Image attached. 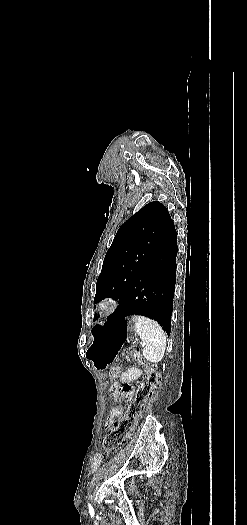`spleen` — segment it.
Listing matches in <instances>:
<instances>
[{
	"label": "spleen",
	"instance_id": "3e777b00",
	"mask_svg": "<svg viewBox=\"0 0 247 525\" xmlns=\"http://www.w3.org/2000/svg\"><path fill=\"white\" fill-rule=\"evenodd\" d=\"M135 323V331L140 339L146 340L145 347L142 351L144 359L149 363H159L162 361L166 349V335L156 323L147 317H132Z\"/></svg>",
	"mask_w": 247,
	"mask_h": 525
}]
</instances>
